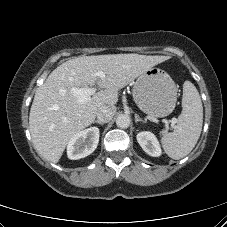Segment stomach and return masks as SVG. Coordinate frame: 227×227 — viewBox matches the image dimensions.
Here are the masks:
<instances>
[{"instance_id":"1","label":"stomach","mask_w":227,"mask_h":227,"mask_svg":"<svg viewBox=\"0 0 227 227\" xmlns=\"http://www.w3.org/2000/svg\"><path fill=\"white\" fill-rule=\"evenodd\" d=\"M133 98L144 113L158 118L166 117L176 106L177 87L168 73L152 67L137 78Z\"/></svg>"}]
</instances>
